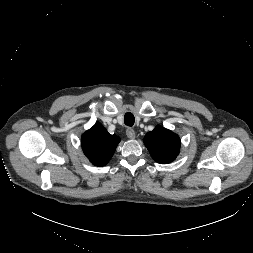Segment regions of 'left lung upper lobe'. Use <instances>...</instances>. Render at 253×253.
<instances>
[{
    "label": "left lung upper lobe",
    "instance_id": "left-lung-upper-lobe-1",
    "mask_svg": "<svg viewBox=\"0 0 253 253\" xmlns=\"http://www.w3.org/2000/svg\"><path fill=\"white\" fill-rule=\"evenodd\" d=\"M144 144L156 162L167 164L178 156L181 143L178 135L156 126L152 132L145 135Z\"/></svg>",
    "mask_w": 253,
    "mask_h": 253
}]
</instances>
